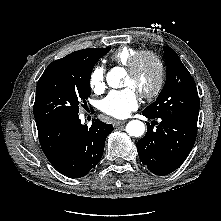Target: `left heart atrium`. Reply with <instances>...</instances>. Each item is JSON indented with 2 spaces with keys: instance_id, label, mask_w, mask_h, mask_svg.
I'll return each instance as SVG.
<instances>
[{
  "instance_id": "left-heart-atrium-1",
  "label": "left heart atrium",
  "mask_w": 221,
  "mask_h": 221,
  "mask_svg": "<svg viewBox=\"0 0 221 221\" xmlns=\"http://www.w3.org/2000/svg\"><path fill=\"white\" fill-rule=\"evenodd\" d=\"M138 107L137 92L126 87L122 90H113L100 102V109L114 118L123 119Z\"/></svg>"
}]
</instances>
